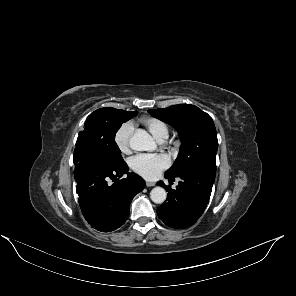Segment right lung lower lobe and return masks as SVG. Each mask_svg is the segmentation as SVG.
<instances>
[{"label": "right lung lower lobe", "instance_id": "98d812e1", "mask_svg": "<svg viewBox=\"0 0 296 296\" xmlns=\"http://www.w3.org/2000/svg\"><path fill=\"white\" fill-rule=\"evenodd\" d=\"M73 162L81 211L92 228L110 232L122 226L129 216V206L145 181L135 173H128L123 163L113 166L97 151L76 146ZM127 177L118 180L117 177ZM109 179L117 181L108 183Z\"/></svg>", "mask_w": 296, "mask_h": 296}]
</instances>
